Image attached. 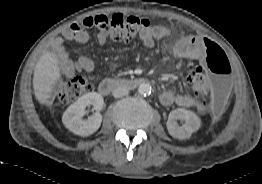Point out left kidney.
Segmentation results:
<instances>
[{
  "label": "left kidney",
  "mask_w": 262,
  "mask_h": 184,
  "mask_svg": "<svg viewBox=\"0 0 262 184\" xmlns=\"http://www.w3.org/2000/svg\"><path fill=\"white\" fill-rule=\"evenodd\" d=\"M183 120L185 123L178 126L177 120ZM168 133L179 140L190 138L193 132H196L201 126L200 118L192 111L183 108H177L170 112L166 123Z\"/></svg>",
  "instance_id": "1"
}]
</instances>
